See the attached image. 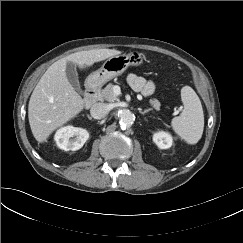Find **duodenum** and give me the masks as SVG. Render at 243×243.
<instances>
[{
    "mask_svg": "<svg viewBox=\"0 0 243 243\" xmlns=\"http://www.w3.org/2000/svg\"><path fill=\"white\" fill-rule=\"evenodd\" d=\"M99 87L95 84H89L86 92H85V97H84V101H85V106L87 108L92 107L93 105L96 104L98 97H99Z\"/></svg>",
    "mask_w": 243,
    "mask_h": 243,
    "instance_id": "duodenum-1",
    "label": "duodenum"
}]
</instances>
